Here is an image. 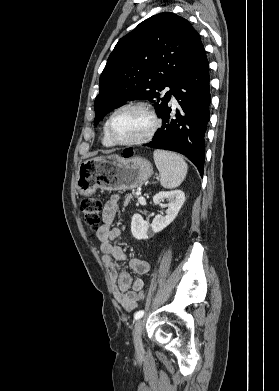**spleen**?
Wrapping results in <instances>:
<instances>
[{"label": "spleen", "mask_w": 279, "mask_h": 391, "mask_svg": "<svg viewBox=\"0 0 279 391\" xmlns=\"http://www.w3.org/2000/svg\"><path fill=\"white\" fill-rule=\"evenodd\" d=\"M154 162L160 172V183L164 188L178 187L186 177L188 166L183 158L173 152L157 149Z\"/></svg>", "instance_id": "obj_1"}]
</instances>
